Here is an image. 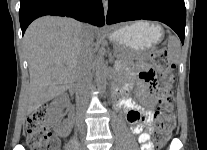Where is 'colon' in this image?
<instances>
[{"mask_svg": "<svg viewBox=\"0 0 207 150\" xmlns=\"http://www.w3.org/2000/svg\"><path fill=\"white\" fill-rule=\"evenodd\" d=\"M152 63L161 71L162 79L156 85L158 106L155 113L154 141L158 147L165 144L175 130V119L172 114L173 97L168 73L171 63L167 50L159 48L151 55ZM27 143L30 150H57L58 141L47 126L46 110L39 108L32 112L25 125Z\"/></svg>", "mask_w": 207, "mask_h": 150, "instance_id": "obj_1", "label": "colon"}]
</instances>
